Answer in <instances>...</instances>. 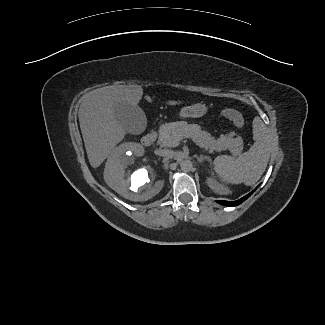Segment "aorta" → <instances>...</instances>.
Masks as SVG:
<instances>
[{"label":"aorta","mask_w":325,"mask_h":325,"mask_svg":"<svg viewBox=\"0 0 325 325\" xmlns=\"http://www.w3.org/2000/svg\"><path fill=\"white\" fill-rule=\"evenodd\" d=\"M180 167H181L182 171L189 172L192 169L193 164H192V162L190 160H183L180 163Z\"/></svg>","instance_id":"aorta-1"}]
</instances>
